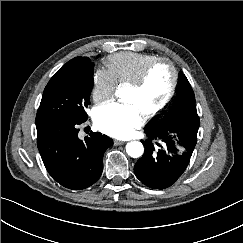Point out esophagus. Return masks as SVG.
I'll list each match as a JSON object with an SVG mask.
<instances>
[{
    "label": "esophagus",
    "instance_id": "esophagus-1",
    "mask_svg": "<svg viewBox=\"0 0 243 243\" xmlns=\"http://www.w3.org/2000/svg\"><path fill=\"white\" fill-rule=\"evenodd\" d=\"M124 143H125V141H122V140H118V139L114 140V145H122Z\"/></svg>",
    "mask_w": 243,
    "mask_h": 243
}]
</instances>
